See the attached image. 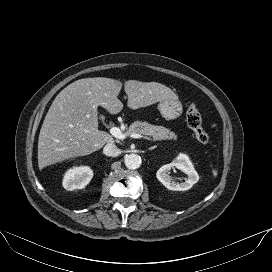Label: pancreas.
<instances>
[{
  "mask_svg": "<svg viewBox=\"0 0 272 272\" xmlns=\"http://www.w3.org/2000/svg\"><path fill=\"white\" fill-rule=\"evenodd\" d=\"M128 132L139 133L153 137L154 140H176L177 135L163 126H155L148 122L136 121L132 123Z\"/></svg>",
  "mask_w": 272,
  "mask_h": 272,
  "instance_id": "obj_1",
  "label": "pancreas"
}]
</instances>
